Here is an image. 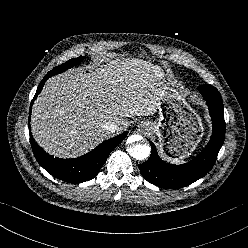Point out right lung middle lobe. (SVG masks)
<instances>
[{"label":"right lung middle lobe","instance_id":"right-lung-middle-lobe-1","mask_svg":"<svg viewBox=\"0 0 248 248\" xmlns=\"http://www.w3.org/2000/svg\"><path fill=\"white\" fill-rule=\"evenodd\" d=\"M84 57L80 56L71 60H68L67 62H65L64 64H61L57 67H55L52 71H50V73H52L53 75H56L58 73H61L69 68H72L75 65H78L82 62Z\"/></svg>","mask_w":248,"mask_h":248}]
</instances>
